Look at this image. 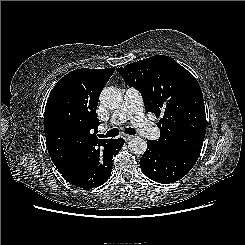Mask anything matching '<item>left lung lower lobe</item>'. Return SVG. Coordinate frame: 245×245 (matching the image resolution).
I'll list each match as a JSON object with an SVG mask.
<instances>
[{
    "instance_id": "obj_1",
    "label": "left lung lower lobe",
    "mask_w": 245,
    "mask_h": 245,
    "mask_svg": "<svg viewBox=\"0 0 245 245\" xmlns=\"http://www.w3.org/2000/svg\"><path fill=\"white\" fill-rule=\"evenodd\" d=\"M198 157L187 153L165 152L149 140L147 149L140 159V167L151 180L168 184L184 177L195 165Z\"/></svg>"
}]
</instances>
